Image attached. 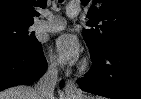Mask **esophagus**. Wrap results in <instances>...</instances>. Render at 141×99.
I'll list each match as a JSON object with an SVG mask.
<instances>
[{
    "label": "esophagus",
    "mask_w": 141,
    "mask_h": 99,
    "mask_svg": "<svg viewBox=\"0 0 141 99\" xmlns=\"http://www.w3.org/2000/svg\"><path fill=\"white\" fill-rule=\"evenodd\" d=\"M64 92L67 98H72L80 95V90L72 79L67 80Z\"/></svg>",
    "instance_id": "34e87169"
}]
</instances>
